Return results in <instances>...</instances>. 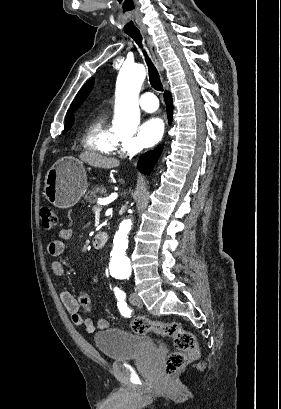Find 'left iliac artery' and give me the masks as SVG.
<instances>
[{
  "label": "left iliac artery",
  "instance_id": "44dca946",
  "mask_svg": "<svg viewBox=\"0 0 281 409\" xmlns=\"http://www.w3.org/2000/svg\"><path fill=\"white\" fill-rule=\"evenodd\" d=\"M115 296L118 300L117 306L120 311V313L125 316V317H130L131 316V310L127 306V303L125 302V293L121 291L119 288H114Z\"/></svg>",
  "mask_w": 281,
  "mask_h": 409
}]
</instances>
